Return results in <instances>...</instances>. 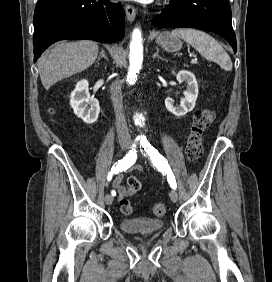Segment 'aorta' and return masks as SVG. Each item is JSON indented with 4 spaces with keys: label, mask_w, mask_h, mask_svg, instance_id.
Instances as JSON below:
<instances>
[{
    "label": "aorta",
    "mask_w": 272,
    "mask_h": 282,
    "mask_svg": "<svg viewBox=\"0 0 272 282\" xmlns=\"http://www.w3.org/2000/svg\"><path fill=\"white\" fill-rule=\"evenodd\" d=\"M143 62V44L142 34L140 29H134L132 33V40L130 42V54H129V71L127 75V82L129 85H133L139 74ZM139 138L144 136L140 134Z\"/></svg>",
    "instance_id": "aorta-1"
}]
</instances>
